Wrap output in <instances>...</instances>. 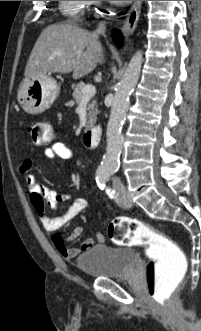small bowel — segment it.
<instances>
[{"mask_svg":"<svg viewBox=\"0 0 201 331\" xmlns=\"http://www.w3.org/2000/svg\"><path fill=\"white\" fill-rule=\"evenodd\" d=\"M44 155L49 159L60 158L71 160L73 157L71 149L59 141L53 142L50 147L45 149ZM32 167L33 161L27 159L21 162L19 173L25 179L31 204L44 229L54 233L52 241L57 252L64 258H73L89 250L95 242H103L104 236L100 233H96L93 238H87L77 247L69 246L70 242L78 239L82 235V227H75L68 236H63L57 233V231L81 214L86 208L87 202L84 198L77 197L62 215L51 217L46 210V204L56 206L59 202L68 199L69 196L56 193L41 185L36 176L32 173Z\"/></svg>","mask_w":201,"mask_h":331,"instance_id":"1","label":"small bowel"}]
</instances>
